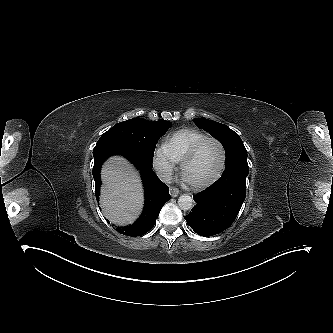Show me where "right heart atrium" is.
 Returning <instances> with one entry per match:
<instances>
[{"instance_id":"d8ad5b80","label":"right heart atrium","mask_w":333,"mask_h":333,"mask_svg":"<svg viewBox=\"0 0 333 333\" xmlns=\"http://www.w3.org/2000/svg\"><path fill=\"white\" fill-rule=\"evenodd\" d=\"M177 161L169 153L166 145H160L156 148L153 156V166L158 174L169 179L175 169Z\"/></svg>"}]
</instances>
